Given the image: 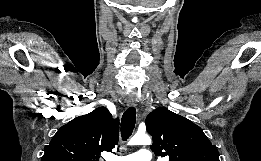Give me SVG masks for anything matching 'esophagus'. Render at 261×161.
<instances>
[{
  "label": "esophagus",
  "instance_id": "obj_1",
  "mask_svg": "<svg viewBox=\"0 0 261 161\" xmlns=\"http://www.w3.org/2000/svg\"><path fill=\"white\" fill-rule=\"evenodd\" d=\"M137 101H138L137 98L132 94L128 95L126 98V103H127V106H129V107L136 106Z\"/></svg>",
  "mask_w": 261,
  "mask_h": 161
}]
</instances>
